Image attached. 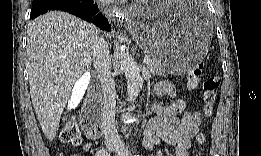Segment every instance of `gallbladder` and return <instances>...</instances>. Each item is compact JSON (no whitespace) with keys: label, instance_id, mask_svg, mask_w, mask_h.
Listing matches in <instances>:
<instances>
[{"label":"gallbladder","instance_id":"1","mask_svg":"<svg viewBox=\"0 0 261 156\" xmlns=\"http://www.w3.org/2000/svg\"><path fill=\"white\" fill-rule=\"evenodd\" d=\"M90 74L91 73L86 72L83 76L79 77V80H76V83L72 88L71 97H69L70 99L66 103L68 104V107H66L67 109L65 110H73L78 108L77 105L81 102L83 95H85L84 92L88 89V84L90 82V78L92 77Z\"/></svg>","mask_w":261,"mask_h":156}]
</instances>
